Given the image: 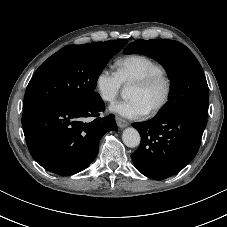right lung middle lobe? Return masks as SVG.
<instances>
[{
    "label": "right lung middle lobe",
    "instance_id": "right-lung-middle-lobe-1",
    "mask_svg": "<svg viewBox=\"0 0 227 227\" xmlns=\"http://www.w3.org/2000/svg\"><path fill=\"white\" fill-rule=\"evenodd\" d=\"M126 40L69 45L50 56L30 80L23 110L51 102L85 103L99 98L96 83Z\"/></svg>",
    "mask_w": 227,
    "mask_h": 227
}]
</instances>
